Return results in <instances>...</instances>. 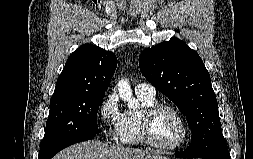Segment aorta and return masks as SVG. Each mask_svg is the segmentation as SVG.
<instances>
[{
  "mask_svg": "<svg viewBox=\"0 0 253 159\" xmlns=\"http://www.w3.org/2000/svg\"><path fill=\"white\" fill-rule=\"evenodd\" d=\"M119 96L122 100L127 102L130 109H136L139 106L138 101L133 97L132 90L127 79H121L117 83Z\"/></svg>",
  "mask_w": 253,
  "mask_h": 159,
  "instance_id": "aorta-1",
  "label": "aorta"
}]
</instances>
